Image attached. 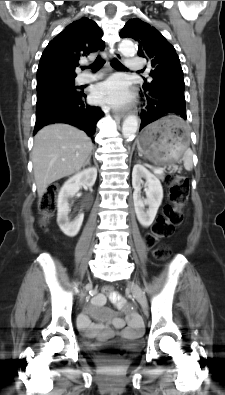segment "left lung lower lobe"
<instances>
[{
    "label": "left lung lower lobe",
    "instance_id": "obj_1",
    "mask_svg": "<svg viewBox=\"0 0 225 395\" xmlns=\"http://www.w3.org/2000/svg\"><path fill=\"white\" fill-rule=\"evenodd\" d=\"M145 97L147 103L140 114V129L169 114L178 116L182 121L183 119H186L185 97L183 91H154L148 92L147 94L145 93Z\"/></svg>",
    "mask_w": 225,
    "mask_h": 395
}]
</instances>
